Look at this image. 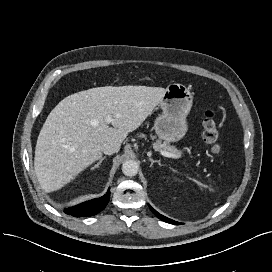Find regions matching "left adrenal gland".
Instances as JSON below:
<instances>
[{
  "mask_svg": "<svg viewBox=\"0 0 272 272\" xmlns=\"http://www.w3.org/2000/svg\"><path fill=\"white\" fill-rule=\"evenodd\" d=\"M148 160L151 162L150 167H152L154 163H160V160H153L152 158H149Z\"/></svg>",
  "mask_w": 272,
  "mask_h": 272,
  "instance_id": "a2214340",
  "label": "left adrenal gland"
}]
</instances>
